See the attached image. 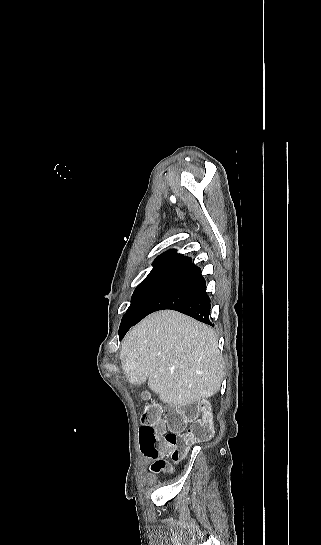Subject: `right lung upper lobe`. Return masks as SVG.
Returning a JSON list of instances; mask_svg holds the SVG:
<instances>
[{
	"label": "right lung upper lobe",
	"instance_id": "obj_1",
	"mask_svg": "<svg viewBox=\"0 0 321 545\" xmlns=\"http://www.w3.org/2000/svg\"><path fill=\"white\" fill-rule=\"evenodd\" d=\"M192 258L177 254L175 249L168 250L159 255L153 262V268H168L177 270L190 263Z\"/></svg>",
	"mask_w": 321,
	"mask_h": 545
}]
</instances>
